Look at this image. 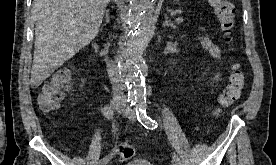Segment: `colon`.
<instances>
[{
	"mask_svg": "<svg viewBox=\"0 0 276 165\" xmlns=\"http://www.w3.org/2000/svg\"><path fill=\"white\" fill-rule=\"evenodd\" d=\"M221 26L222 33L227 44L232 43V32L235 25V9L228 0H209ZM70 83V72L61 70L47 81L41 89L38 104L42 111L51 112L57 109L64 97V91ZM245 85V74L237 62H233L230 68L228 83L218 97L219 109H225L233 105L240 97ZM117 155L120 161H128L134 156V149L129 144H121Z\"/></svg>",
	"mask_w": 276,
	"mask_h": 165,
	"instance_id": "5ec220e1",
	"label": "colon"
}]
</instances>
